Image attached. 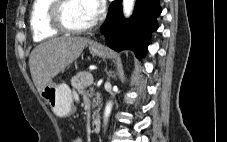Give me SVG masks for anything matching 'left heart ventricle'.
Here are the masks:
<instances>
[{
	"label": "left heart ventricle",
	"instance_id": "1",
	"mask_svg": "<svg viewBox=\"0 0 227 142\" xmlns=\"http://www.w3.org/2000/svg\"><path fill=\"white\" fill-rule=\"evenodd\" d=\"M65 19L74 27L86 26L94 21L84 0H70L65 9Z\"/></svg>",
	"mask_w": 227,
	"mask_h": 142
}]
</instances>
